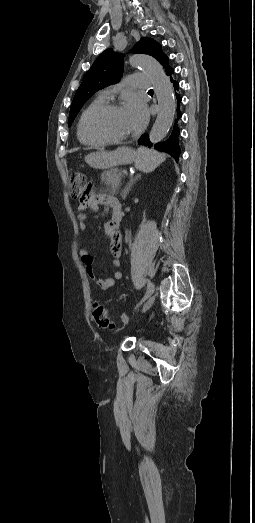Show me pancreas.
<instances>
[{
  "mask_svg": "<svg viewBox=\"0 0 255 523\" xmlns=\"http://www.w3.org/2000/svg\"><path fill=\"white\" fill-rule=\"evenodd\" d=\"M122 178L124 176L121 174V170H108V172L101 174V180L108 186L107 192H110V194H118Z\"/></svg>",
  "mask_w": 255,
  "mask_h": 523,
  "instance_id": "1",
  "label": "pancreas"
}]
</instances>
